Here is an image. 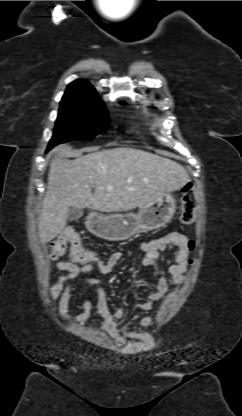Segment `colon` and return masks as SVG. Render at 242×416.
<instances>
[{"label": "colon", "instance_id": "5ec220e1", "mask_svg": "<svg viewBox=\"0 0 242 416\" xmlns=\"http://www.w3.org/2000/svg\"><path fill=\"white\" fill-rule=\"evenodd\" d=\"M199 202L195 194V189L192 184H186L182 190L181 212L179 222L182 225H190L195 220L196 211ZM189 248H195V242H189ZM68 254L71 261L78 264H86L92 261L95 257L93 251L86 248L74 231L65 229L58 238L51 244L49 257L56 261L64 255Z\"/></svg>", "mask_w": 242, "mask_h": 416}]
</instances>
